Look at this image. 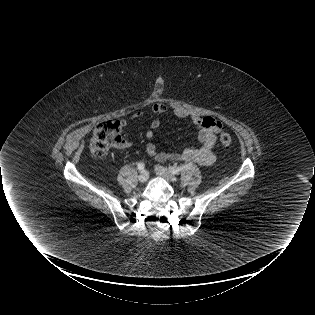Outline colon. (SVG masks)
Here are the masks:
<instances>
[{"label":"colon","mask_w":315,"mask_h":315,"mask_svg":"<svg viewBox=\"0 0 315 315\" xmlns=\"http://www.w3.org/2000/svg\"><path fill=\"white\" fill-rule=\"evenodd\" d=\"M220 143L228 147L232 143V137L228 133H222ZM121 125L119 121H104L97 125L91 139V150L95 157L104 155L108 149L122 142Z\"/></svg>","instance_id":"colon-1"}]
</instances>
